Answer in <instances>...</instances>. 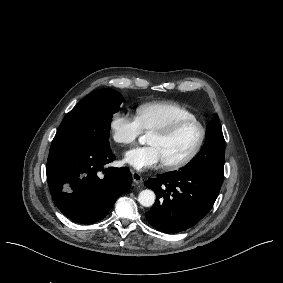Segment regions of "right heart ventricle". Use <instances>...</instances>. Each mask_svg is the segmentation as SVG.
Listing matches in <instances>:
<instances>
[{
	"mask_svg": "<svg viewBox=\"0 0 283 283\" xmlns=\"http://www.w3.org/2000/svg\"><path fill=\"white\" fill-rule=\"evenodd\" d=\"M135 112L142 130L151 133L165 129L181 117L194 116L189 110L169 101L142 103Z\"/></svg>",
	"mask_w": 283,
	"mask_h": 283,
	"instance_id": "1",
	"label": "right heart ventricle"
}]
</instances>
